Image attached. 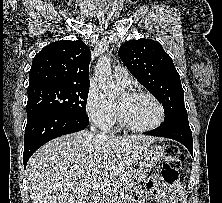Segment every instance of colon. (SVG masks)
Listing matches in <instances>:
<instances>
[{
	"mask_svg": "<svg viewBox=\"0 0 222 203\" xmlns=\"http://www.w3.org/2000/svg\"><path fill=\"white\" fill-rule=\"evenodd\" d=\"M184 159L180 149L175 145H168L161 167V178L167 184H176L179 178V168Z\"/></svg>",
	"mask_w": 222,
	"mask_h": 203,
	"instance_id": "obj_1",
	"label": "colon"
}]
</instances>
